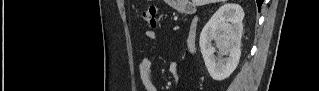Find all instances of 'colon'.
I'll list each match as a JSON object with an SVG mask.
<instances>
[{
  "instance_id": "obj_1",
  "label": "colon",
  "mask_w": 319,
  "mask_h": 91,
  "mask_svg": "<svg viewBox=\"0 0 319 91\" xmlns=\"http://www.w3.org/2000/svg\"><path fill=\"white\" fill-rule=\"evenodd\" d=\"M155 16H156V6L152 4L143 10L141 18L145 24L154 28L157 26V21Z\"/></svg>"
}]
</instances>
